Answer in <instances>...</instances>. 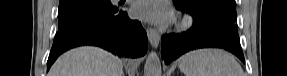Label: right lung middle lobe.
Here are the masks:
<instances>
[{"label":"right lung middle lobe","instance_id":"right-lung-middle-lobe-1","mask_svg":"<svg viewBox=\"0 0 287 76\" xmlns=\"http://www.w3.org/2000/svg\"><path fill=\"white\" fill-rule=\"evenodd\" d=\"M116 9L110 0H60L58 28L63 29L78 21L99 18Z\"/></svg>","mask_w":287,"mask_h":76}]
</instances>
